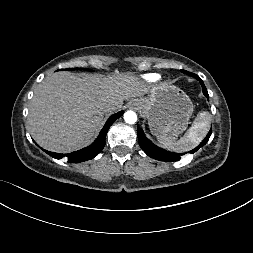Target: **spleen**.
<instances>
[{
  "mask_svg": "<svg viewBox=\"0 0 253 253\" xmlns=\"http://www.w3.org/2000/svg\"><path fill=\"white\" fill-rule=\"evenodd\" d=\"M211 116L208 112H202L194 120L192 126L179 140L164 136H157L160 145L173 152H186L195 148L206 136Z\"/></svg>",
  "mask_w": 253,
  "mask_h": 253,
  "instance_id": "3e777b00",
  "label": "spleen"
}]
</instances>
